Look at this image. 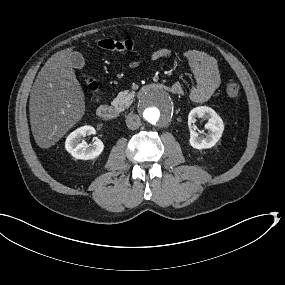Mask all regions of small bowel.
Masks as SVG:
<instances>
[{
    "label": "small bowel",
    "mask_w": 285,
    "mask_h": 285,
    "mask_svg": "<svg viewBox=\"0 0 285 285\" xmlns=\"http://www.w3.org/2000/svg\"><path fill=\"white\" fill-rule=\"evenodd\" d=\"M172 52L166 48L155 50L151 59L159 61L170 57ZM181 58L190 67L195 84L188 91L189 98L197 103L208 100L221 84L219 68L216 59L210 54L198 49H185L180 53ZM140 65V60L135 59L130 62L131 68ZM171 92L175 95H182L186 92L184 86L180 82L171 85Z\"/></svg>",
    "instance_id": "obj_1"
}]
</instances>
